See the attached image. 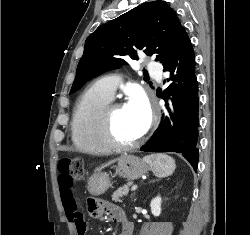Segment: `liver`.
<instances>
[{
    "mask_svg": "<svg viewBox=\"0 0 250 235\" xmlns=\"http://www.w3.org/2000/svg\"><path fill=\"white\" fill-rule=\"evenodd\" d=\"M114 162H115V160H111V161H109V162H107V163L101 165L100 167H98V168L95 169V172H98V171H100V170H102V169H104V168L110 166V165L113 164Z\"/></svg>",
    "mask_w": 250,
    "mask_h": 235,
    "instance_id": "liver-1",
    "label": "liver"
}]
</instances>
